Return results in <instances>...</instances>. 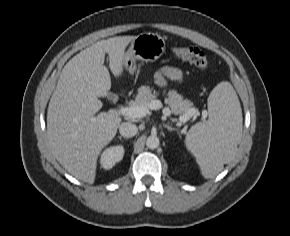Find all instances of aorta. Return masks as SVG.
<instances>
[{
    "instance_id": "obj_1",
    "label": "aorta",
    "mask_w": 290,
    "mask_h": 236,
    "mask_svg": "<svg viewBox=\"0 0 290 236\" xmlns=\"http://www.w3.org/2000/svg\"><path fill=\"white\" fill-rule=\"evenodd\" d=\"M160 144L159 138L155 135H150L146 140V146L149 149H156Z\"/></svg>"
}]
</instances>
